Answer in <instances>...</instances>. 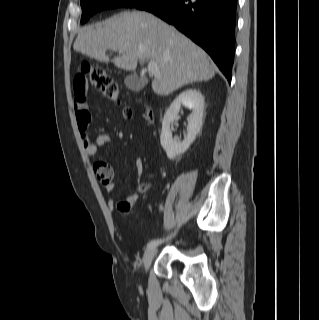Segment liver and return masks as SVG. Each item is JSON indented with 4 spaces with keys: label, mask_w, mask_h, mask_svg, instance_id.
Instances as JSON below:
<instances>
[{
    "label": "liver",
    "mask_w": 319,
    "mask_h": 320,
    "mask_svg": "<svg viewBox=\"0 0 319 320\" xmlns=\"http://www.w3.org/2000/svg\"><path fill=\"white\" fill-rule=\"evenodd\" d=\"M73 49L101 62L110 61L107 50L119 51L121 55L111 61L125 71L135 70L138 60L156 62L160 77L155 76L152 89L161 96L215 76V68L203 49L147 12H122L84 27Z\"/></svg>",
    "instance_id": "liver-1"
}]
</instances>
